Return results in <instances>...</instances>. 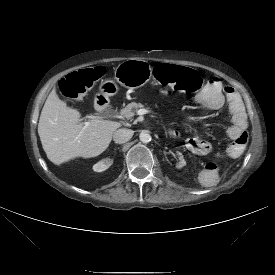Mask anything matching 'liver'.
Returning a JSON list of instances; mask_svg holds the SVG:
<instances>
[{"instance_id":"liver-1","label":"liver","mask_w":275,"mask_h":275,"mask_svg":"<svg viewBox=\"0 0 275 275\" xmlns=\"http://www.w3.org/2000/svg\"><path fill=\"white\" fill-rule=\"evenodd\" d=\"M121 123L91 118L83 122L78 110L59 99L53 88L41 111L38 134L48 159L60 165L76 157L103 153Z\"/></svg>"}]
</instances>
